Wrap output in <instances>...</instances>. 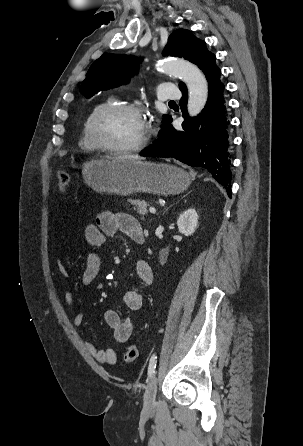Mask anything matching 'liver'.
Wrapping results in <instances>:
<instances>
[{"label": "liver", "mask_w": 303, "mask_h": 446, "mask_svg": "<svg viewBox=\"0 0 303 446\" xmlns=\"http://www.w3.org/2000/svg\"><path fill=\"white\" fill-rule=\"evenodd\" d=\"M112 159H134V160H141L142 158L137 156V155H123V156H118V157H114Z\"/></svg>", "instance_id": "6515ba94"}]
</instances>
